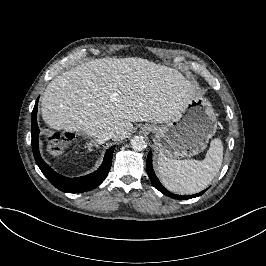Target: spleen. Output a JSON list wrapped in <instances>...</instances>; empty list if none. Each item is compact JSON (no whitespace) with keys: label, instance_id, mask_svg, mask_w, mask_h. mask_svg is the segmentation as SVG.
Segmentation results:
<instances>
[{"label":"spleen","instance_id":"3e777b00","mask_svg":"<svg viewBox=\"0 0 266 266\" xmlns=\"http://www.w3.org/2000/svg\"><path fill=\"white\" fill-rule=\"evenodd\" d=\"M223 144L219 138L210 143L202 161L187 159L176 160L159 153L158 172L162 184L177 194H194L205 189L221 168Z\"/></svg>","mask_w":266,"mask_h":266}]
</instances>
